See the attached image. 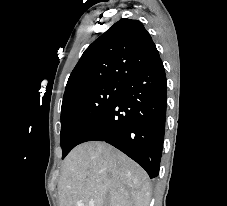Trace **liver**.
<instances>
[{"label": "liver", "instance_id": "1", "mask_svg": "<svg viewBox=\"0 0 227 206\" xmlns=\"http://www.w3.org/2000/svg\"><path fill=\"white\" fill-rule=\"evenodd\" d=\"M59 206H148L147 173L126 155L100 141L75 147L62 165Z\"/></svg>", "mask_w": 227, "mask_h": 206}]
</instances>
